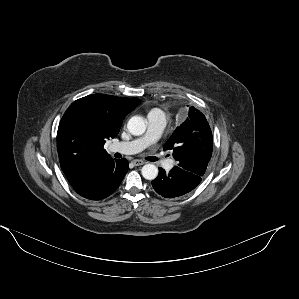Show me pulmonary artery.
<instances>
[{"label": "pulmonary artery", "instance_id": "obj_1", "mask_svg": "<svg viewBox=\"0 0 299 299\" xmlns=\"http://www.w3.org/2000/svg\"><path fill=\"white\" fill-rule=\"evenodd\" d=\"M147 120L148 128L144 135L131 141L116 142L111 145V150L122 154H135L155 143L167 125V116L164 112L158 110L149 113ZM164 166L166 169H171L174 166V161L171 159L166 160Z\"/></svg>", "mask_w": 299, "mask_h": 299}]
</instances>
